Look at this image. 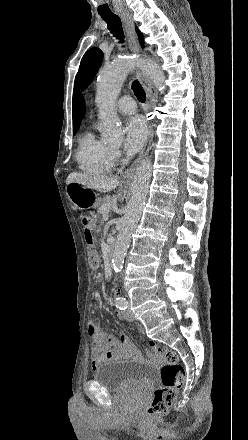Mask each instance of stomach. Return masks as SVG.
I'll list each match as a JSON object with an SVG mask.
<instances>
[{
  "label": "stomach",
  "instance_id": "obj_1",
  "mask_svg": "<svg viewBox=\"0 0 248 440\" xmlns=\"http://www.w3.org/2000/svg\"><path fill=\"white\" fill-rule=\"evenodd\" d=\"M67 195L75 207L85 209L97 204V194L93 189L79 183H70L66 188Z\"/></svg>",
  "mask_w": 248,
  "mask_h": 440
}]
</instances>
